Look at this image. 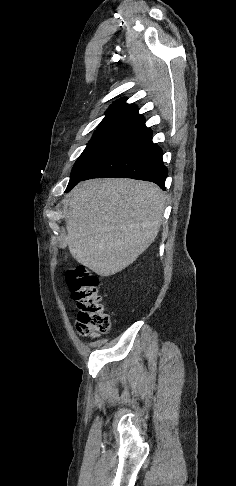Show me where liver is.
Segmentation results:
<instances>
[{"mask_svg":"<svg viewBox=\"0 0 236 486\" xmlns=\"http://www.w3.org/2000/svg\"><path fill=\"white\" fill-rule=\"evenodd\" d=\"M70 196L63 247L97 275L128 267L160 230L165 195L153 183L94 179L79 183Z\"/></svg>","mask_w":236,"mask_h":486,"instance_id":"6515ba94","label":"liver"}]
</instances>
